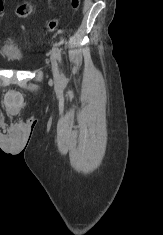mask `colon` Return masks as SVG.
<instances>
[{"label":"colon","instance_id":"1","mask_svg":"<svg viewBox=\"0 0 163 235\" xmlns=\"http://www.w3.org/2000/svg\"><path fill=\"white\" fill-rule=\"evenodd\" d=\"M69 5L73 10H77L80 5V0H69ZM3 10H4V3L3 0H0V14L3 12ZM32 11H33L32 5L29 3H24L16 8V15L20 18H26L32 13ZM58 24H59V19L53 18L45 24V30L53 31L56 29Z\"/></svg>","mask_w":163,"mask_h":235}]
</instances>
